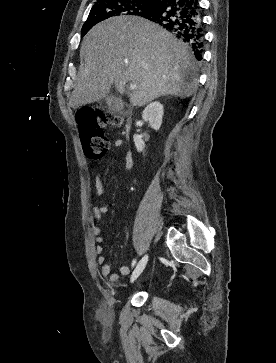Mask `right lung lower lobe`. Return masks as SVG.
I'll use <instances>...</instances> for the list:
<instances>
[{
	"label": "right lung lower lobe",
	"mask_w": 276,
	"mask_h": 363,
	"mask_svg": "<svg viewBox=\"0 0 276 363\" xmlns=\"http://www.w3.org/2000/svg\"><path fill=\"white\" fill-rule=\"evenodd\" d=\"M142 17L155 22L188 43L196 58L203 52V22L198 0H161Z\"/></svg>",
	"instance_id": "right-lung-lower-lobe-1"
}]
</instances>
